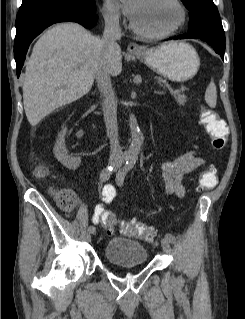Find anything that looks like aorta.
Here are the masks:
<instances>
[{"label": "aorta", "instance_id": "1", "mask_svg": "<svg viewBox=\"0 0 245 319\" xmlns=\"http://www.w3.org/2000/svg\"><path fill=\"white\" fill-rule=\"evenodd\" d=\"M129 126L132 141L128 150L125 152V157L128 161H136L141 149V139L138 122L134 114H130L129 116Z\"/></svg>", "mask_w": 245, "mask_h": 319}]
</instances>
